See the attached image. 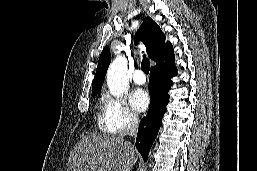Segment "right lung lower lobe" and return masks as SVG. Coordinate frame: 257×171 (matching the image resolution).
<instances>
[{
  "label": "right lung lower lobe",
  "mask_w": 257,
  "mask_h": 171,
  "mask_svg": "<svg viewBox=\"0 0 257 171\" xmlns=\"http://www.w3.org/2000/svg\"><path fill=\"white\" fill-rule=\"evenodd\" d=\"M176 71L175 60L151 68L149 80L151 103L147 115L140 122L136 139V148L144 161L148 158L149 150L158 134L162 117L166 112V105L169 102L168 91L173 84L171 78L176 75Z\"/></svg>",
  "instance_id": "obj_1"
}]
</instances>
